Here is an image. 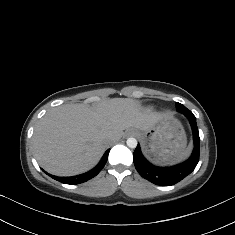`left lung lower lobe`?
Listing matches in <instances>:
<instances>
[{
  "mask_svg": "<svg viewBox=\"0 0 235 235\" xmlns=\"http://www.w3.org/2000/svg\"><path fill=\"white\" fill-rule=\"evenodd\" d=\"M185 115L190 121L194 139V150L187 161L172 167H157L143 157L139 144L134 151V165L136 170L143 178L156 185H173L181 181L195 169L199 161L200 138L196 117L193 113H187Z\"/></svg>",
  "mask_w": 235,
  "mask_h": 235,
  "instance_id": "0a47b994",
  "label": "left lung lower lobe"
}]
</instances>
